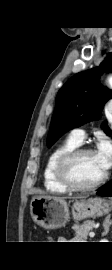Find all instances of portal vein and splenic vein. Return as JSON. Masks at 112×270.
I'll use <instances>...</instances> for the list:
<instances>
[{
    "instance_id": "obj_1",
    "label": "portal vein and splenic vein",
    "mask_w": 112,
    "mask_h": 270,
    "mask_svg": "<svg viewBox=\"0 0 112 270\" xmlns=\"http://www.w3.org/2000/svg\"><path fill=\"white\" fill-rule=\"evenodd\" d=\"M89 236H90V237H94V236H95V233H94V232H90V233H89Z\"/></svg>"
}]
</instances>
